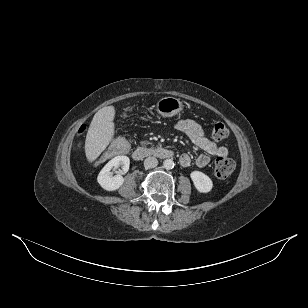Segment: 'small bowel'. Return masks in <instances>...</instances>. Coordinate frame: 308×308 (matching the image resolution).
Masks as SVG:
<instances>
[{
	"instance_id": "c3829d8e",
	"label": "small bowel",
	"mask_w": 308,
	"mask_h": 308,
	"mask_svg": "<svg viewBox=\"0 0 308 308\" xmlns=\"http://www.w3.org/2000/svg\"><path fill=\"white\" fill-rule=\"evenodd\" d=\"M176 129L184 133L197 148L204 151V154H200L195 159L198 167L207 166L210 162V156L226 157L228 155V149L209 140L205 136L202 126L196 121L191 119L180 120L176 123ZM179 161L182 166L186 167L191 164L192 158L189 154L184 153L180 156Z\"/></svg>"
}]
</instances>
